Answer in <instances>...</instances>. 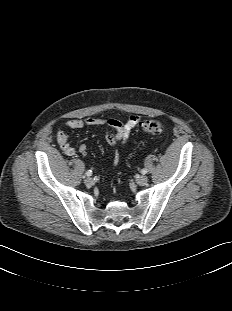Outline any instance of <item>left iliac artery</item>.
Returning <instances> with one entry per match:
<instances>
[{"instance_id":"44dca946","label":"left iliac artery","mask_w":232,"mask_h":311,"mask_svg":"<svg viewBox=\"0 0 232 311\" xmlns=\"http://www.w3.org/2000/svg\"><path fill=\"white\" fill-rule=\"evenodd\" d=\"M147 172H148V171H147V169H145V168L142 169V171H141L142 174H146Z\"/></svg>"}]
</instances>
